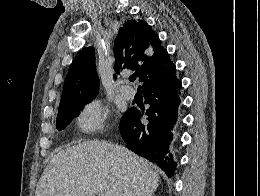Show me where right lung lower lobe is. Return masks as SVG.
Listing matches in <instances>:
<instances>
[{
    "label": "right lung lower lobe",
    "instance_id": "1",
    "mask_svg": "<svg viewBox=\"0 0 260 196\" xmlns=\"http://www.w3.org/2000/svg\"><path fill=\"white\" fill-rule=\"evenodd\" d=\"M175 73L176 69L159 80L144 84L142 91L148 109L140 112L130 108L120 121V133L127 148L157 163L169 177L176 168L169 147L178 121L182 87Z\"/></svg>",
    "mask_w": 260,
    "mask_h": 196
}]
</instances>
